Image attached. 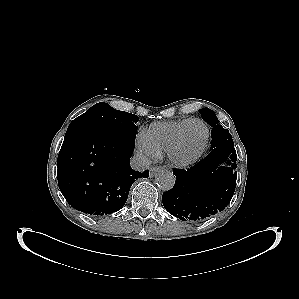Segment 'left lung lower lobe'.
Returning a JSON list of instances; mask_svg holds the SVG:
<instances>
[{"label": "left lung lower lobe", "mask_w": 299, "mask_h": 299, "mask_svg": "<svg viewBox=\"0 0 299 299\" xmlns=\"http://www.w3.org/2000/svg\"><path fill=\"white\" fill-rule=\"evenodd\" d=\"M236 160L234 143H223L190 169L174 170L175 185L162 195L165 209L183 221L202 220L222 211L235 191Z\"/></svg>", "instance_id": "obj_1"}]
</instances>
